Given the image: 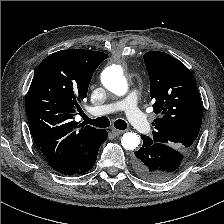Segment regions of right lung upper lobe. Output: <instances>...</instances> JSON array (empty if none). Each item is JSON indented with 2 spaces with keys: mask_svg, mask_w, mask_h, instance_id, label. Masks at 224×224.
<instances>
[{
  "mask_svg": "<svg viewBox=\"0 0 224 224\" xmlns=\"http://www.w3.org/2000/svg\"><path fill=\"white\" fill-rule=\"evenodd\" d=\"M107 57L99 51L62 50L46 57L35 72L27 97L29 128L60 173L80 165L101 136L102 129L78 126L74 116L94 71Z\"/></svg>",
  "mask_w": 224,
  "mask_h": 224,
  "instance_id": "obj_1",
  "label": "right lung upper lobe"
}]
</instances>
